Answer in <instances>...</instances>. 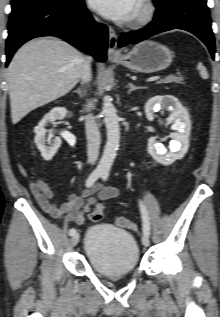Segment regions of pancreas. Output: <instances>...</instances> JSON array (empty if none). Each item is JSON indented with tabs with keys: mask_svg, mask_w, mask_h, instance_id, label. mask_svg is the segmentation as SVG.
I'll return each instance as SVG.
<instances>
[{
	"mask_svg": "<svg viewBox=\"0 0 220 317\" xmlns=\"http://www.w3.org/2000/svg\"><path fill=\"white\" fill-rule=\"evenodd\" d=\"M182 83L183 79L181 77L170 75L166 77L164 80H161L159 83Z\"/></svg>",
	"mask_w": 220,
	"mask_h": 317,
	"instance_id": "pancreas-1",
	"label": "pancreas"
}]
</instances>
